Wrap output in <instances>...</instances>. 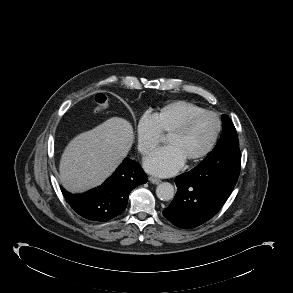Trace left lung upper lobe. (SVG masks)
Here are the masks:
<instances>
[{
    "label": "left lung upper lobe",
    "instance_id": "1",
    "mask_svg": "<svg viewBox=\"0 0 293 293\" xmlns=\"http://www.w3.org/2000/svg\"><path fill=\"white\" fill-rule=\"evenodd\" d=\"M223 133L215 148L200 163V165H214L230 151L239 150L237 132L228 115L222 116Z\"/></svg>",
    "mask_w": 293,
    "mask_h": 293
}]
</instances>
